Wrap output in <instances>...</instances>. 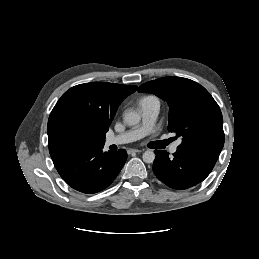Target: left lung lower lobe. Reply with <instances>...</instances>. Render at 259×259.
Listing matches in <instances>:
<instances>
[{
    "instance_id": "0a47b994",
    "label": "left lung lower lobe",
    "mask_w": 259,
    "mask_h": 259,
    "mask_svg": "<svg viewBox=\"0 0 259 259\" xmlns=\"http://www.w3.org/2000/svg\"><path fill=\"white\" fill-rule=\"evenodd\" d=\"M222 149L211 146L177 148L173 157L155 150L153 171L167 186L183 190L202 182L212 171Z\"/></svg>"
}]
</instances>
